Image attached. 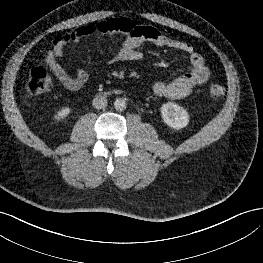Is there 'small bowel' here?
Instances as JSON below:
<instances>
[{"label": "small bowel", "instance_id": "1", "mask_svg": "<svg viewBox=\"0 0 263 263\" xmlns=\"http://www.w3.org/2000/svg\"><path fill=\"white\" fill-rule=\"evenodd\" d=\"M97 34H117L123 36L122 46L116 56L119 61H136L142 58L140 47L151 43L180 51L189 58L191 69L171 81H157L153 91L157 96L169 99L186 97L192 89L205 83L210 75L204 58L194 47L183 40L167 36L151 26L136 25L127 18L110 19L96 25L80 26L71 32L54 38L52 48L48 51L45 61L61 84L69 90H79L88 81L90 73L83 68H76L75 75H70L58 62L65 57V48L69 44L78 43Z\"/></svg>", "mask_w": 263, "mask_h": 263}]
</instances>
